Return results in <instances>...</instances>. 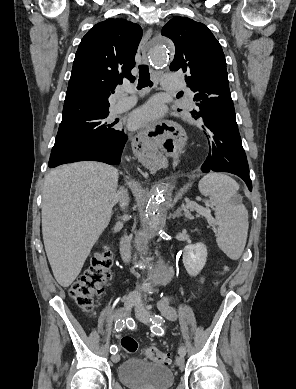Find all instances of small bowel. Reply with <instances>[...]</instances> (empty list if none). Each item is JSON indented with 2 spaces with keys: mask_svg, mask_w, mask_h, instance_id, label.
<instances>
[{
  "mask_svg": "<svg viewBox=\"0 0 296 389\" xmlns=\"http://www.w3.org/2000/svg\"><path fill=\"white\" fill-rule=\"evenodd\" d=\"M204 281V277H201L199 280H198V286L200 284H202ZM197 286V288H198ZM196 291L193 293V296L195 295ZM159 307L160 309L163 311V313L168 317L170 318L171 320H175L176 318V315L173 311V309L171 308L170 306V299L169 298H165L163 299L160 303H159Z\"/></svg>",
  "mask_w": 296,
  "mask_h": 389,
  "instance_id": "c3829d8e",
  "label": "small bowel"
}]
</instances>
